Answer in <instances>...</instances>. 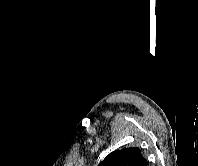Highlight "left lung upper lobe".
Masks as SVG:
<instances>
[{
	"instance_id": "5c2ea615",
	"label": "left lung upper lobe",
	"mask_w": 198,
	"mask_h": 166,
	"mask_svg": "<svg viewBox=\"0 0 198 166\" xmlns=\"http://www.w3.org/2000/svg\"><path fill=\"white\" fill-rule=\"evenodd\" d=\"M138 147L124 148L110 153L99 166H147Z\"/></svg>"
}]
</instances>
